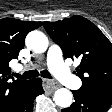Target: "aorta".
Returning a JSON list of instances; mask_svg holds the SVG:
<instances>
[{"mask_svg":"<svg viewBox=\"0 0 112 112\" xmlns=\"http://www.w3.org/2000/svg\"><path fill=\"white\" fill-rule=\"evenodd\" d=\"M26 46L35 53H43L48 48V38L40 31H31L26 37ZM73 95L66 88L55 91L53 100L61 108H68L72 104Z\"/></svg>","mask_w":112,"mask_h":112,"instance_id":"1","label":"aorta"}]
</instances>
